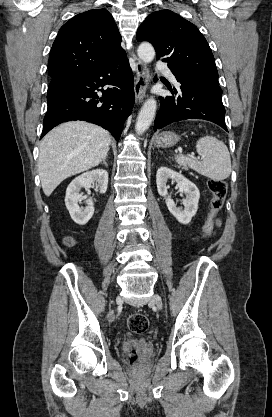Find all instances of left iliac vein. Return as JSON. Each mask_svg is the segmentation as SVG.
I'll use <instances>...</instances> for the list:
<instances>
[{
  "instance_id": "1",
  "label": "left iliac vein",
  "mask_w": 272,
  "mask_h": 417,
  "mask_svg": "<svg viewBox=\"0 0 272 417\" xmlns=\"http://www.w3.org/2000/svg\"><path fill=\"white\" fill-rule=\"evenodd\" d=\"M151 303L155 304L158 309H162V300L159 295L155 294L151 299Z\"/></svg>"
}]
</instances>
